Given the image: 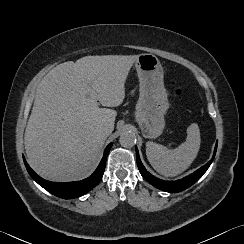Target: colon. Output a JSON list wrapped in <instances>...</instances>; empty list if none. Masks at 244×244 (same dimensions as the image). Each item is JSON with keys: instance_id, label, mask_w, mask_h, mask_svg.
<instances>
[{"instance_id": "obj_1", "label": "colon", "mask_w": 244, "mask_h": 244, "mask_svg": "<svg viewBox=\"0 0 244 244\" xmlns=\"http://www.w3.org/2000/svg\"><path fill=\"white\" fill-rule=\"evenodd\" d=\"M172 87H173V92H174L175 96L180 97L183 95L184 90L182 87L178 86L175 82L172 83Z\"/></svg>"}]
</instances>
